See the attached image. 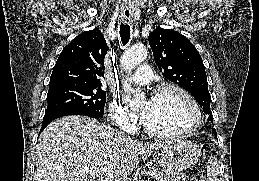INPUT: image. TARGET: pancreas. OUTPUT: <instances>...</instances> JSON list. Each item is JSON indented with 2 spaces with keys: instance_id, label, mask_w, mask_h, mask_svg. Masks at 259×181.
Listing matches in <instances>:
<instances>
[{
  "instance_id": "cf45deb5",
  "label": "pancreas",
  "mask_w": 259,
  "mask_h": 181,
  "mask_svg": "<svg viewBox=\"0 0 259 181\" xmlns=\"http://www.w3.org/2000/svg\"><path fill=\"white\" fill-rule=\"evenodd\" d=\"M151 173L163 181H188L189 179L187 174L174 170L151 168Z\"/></svg>"
}]
</instances>
